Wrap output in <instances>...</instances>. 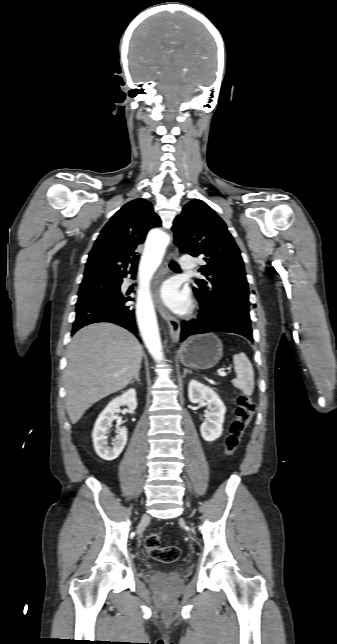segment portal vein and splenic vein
Listing matches in <instances>:
<instances>
[{"label": "portal vein and splenic vein", "mask_w": 337, "mask_h": 644, "mask_svg": "<svg viewBox=\"0 0 337 644\" xmlns=\"http://www.w3.org/2000/svg\"><path fill=\"white\" fill-rule=\"evenodd\" d=\"M218 375L221 376V377H225V376H227V373L225 371H220V372H218Z\"/></svg>", "instance_id": "18ae733b"}]
</instances>
